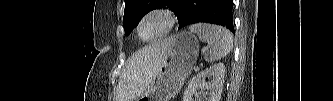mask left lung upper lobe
Wrapping results in <instances>:
<instances>
[{"instance_id": "5c2ea615", "label": "left lung upper lobe", "mask_w": 333, "mask_h": 101, "mask_svg": "<svg viewBox=\"0 0 333 101\" xmlns=\"http://www.w3.org/2000/svg\"><path fill=\"white\" fill-rule=\"evenodd\" d=\"M160 6H167L176 14L178 20L183 13L177 0H125L123 17L125 34H130L147 12Z\"/></svg>"}]
</instances>
